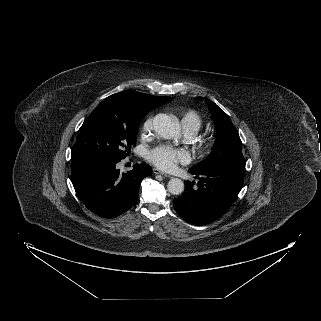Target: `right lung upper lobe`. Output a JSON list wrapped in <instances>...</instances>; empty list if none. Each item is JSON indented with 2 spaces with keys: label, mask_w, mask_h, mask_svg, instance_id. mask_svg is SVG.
<instances>
[{
  "label": "right lung upper lobe",
  "mask_w": 321,
  "mask_h": 321,
  "mask_svg": "<svg viewBox=\"0 0 321 321\" xmlns=\"http://www.w3.org/2000/svg\"><path fill=\"white\" fill-rule=\"evenodd\" d=\"M113 96L125 98L132 102L136 107L149 111L162 106L173 99L172 97L153 96L133 90L122 91L113 94Z\"/></svg>",
  "instance_id": "obj_1"
}]
</instances>
